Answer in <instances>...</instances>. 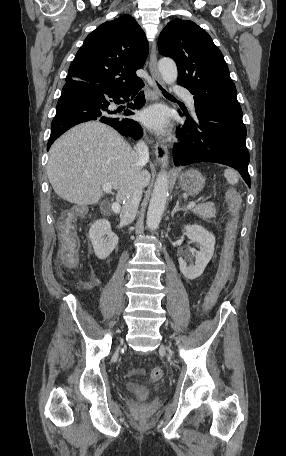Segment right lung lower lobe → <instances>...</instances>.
Returning <instances> with one entry per match:
<instances>
[{"label":"right lung lower lobe","mask_w":286,"mask_h":456,"mask_svg":"<svg viewBox=\"0 0 286 456\" xmlns=\"http://www.w3.org/2000/svg\"><path fill=\"white\" fill-rule=\"evenodd\" d=\"M141 85L143 84L140 82L130 90L109 93L88 83L67 81L57 103L55 118L51 123V135L47 150L69 128L76 124L92 120L112 126L123 136L140 139L142 136L141 126L136 121L125 117L133 115V111L127 109L117 115L120 111H112L108 107L112 103H122L121 98L127 99ZM144 103L145 97L143 92H141L134 100V104L131 103L128 107L131 109H140Z\"/></svg>","instance_id":"obj_1"}]
</instances>
